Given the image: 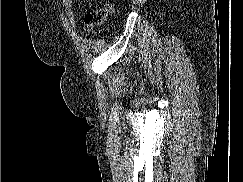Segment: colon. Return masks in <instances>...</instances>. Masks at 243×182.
Listing matches in <instances>:
<instances>
[{
    "mask_svg": "<svg viewBox=\"0 0 243 182\" xmlns=\"http://www.w3.org/2000/svg\"><path fill=\"white\" fill-rule=\"evenodd\" d=\"M112 11H113V5L107 4L102 8H98L96 10L88 12L84 17L86 28L88 30H92L102 25L107 20V18L112 13Z\"/></svg>",
    "mask_w": 243,
    "mask_h": 182,
    "instance_id": "1",
    "label": "colon"
}]
</instances>
